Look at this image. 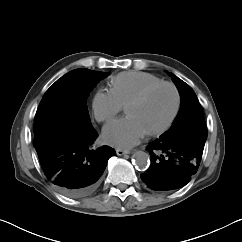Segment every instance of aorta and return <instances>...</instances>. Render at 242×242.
<instances>
[{
  "label": "aorta",
  "mask_w": 242,
  "mask_h": 242,
  "mask_svg": "<svg viewBox=\"0 0 242 242\" xmlns=\"http://www.w3.org/2000/svg\"><path fill=\"white\" fill-rule=\"evenodd\" d=\"M132 157L135 165L139 168H145L150 163L149 155L144 151H136Z\"/></svg>",
  "instance_id": "1"
}]
</instances>
